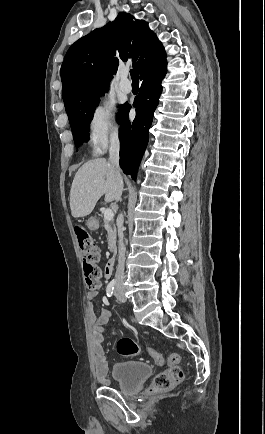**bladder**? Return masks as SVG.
Wrapping results in <instances>:
<instances>
[{
	"label": "bladder",
	"instance_id": "1",
	"mask_svg": "<svg viewBox=\"0 0 265 434\" xmlns=\"http://www.w3.org/2000/svg\"><path fill=\"white\" fill-rule=\"evenodd\" d=\"M151 374V366L140 361L119 362L111 368L113 380L125 395L137 393Z\"/></svg>",
	"mask_w": 265,
	"mask_h": 434
}]
</instances>
